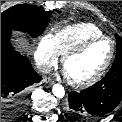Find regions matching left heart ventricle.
Masks as SVG:
<instances>
[{
	"instance_id": "b2bd125f",
	"label": "left heart ventricle",
	"mask_w": 122,
	"mask_h": 122,
	"mask_svg": "<svg viewBox=\"0 0 122 122\" xmlns=\"http://www.w3.org/2000/svg\"><path fill=\"white\" fill-rule=\"evenodd\" d=\"M110 51L111 44L107 40L90 45L82 53L71 57L66 62L64 69L67 77L76 81L90 78L104 65Z\"/></svg>"
}]
</instances>
